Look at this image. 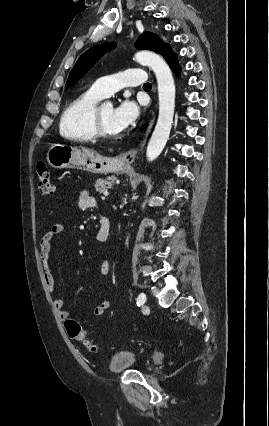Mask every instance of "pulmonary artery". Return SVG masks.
I'll return each instance as SVG.
<instances>
[{"mask_svg":"<svg viewBox=\"0 0 269 426\" xmlns=\"http://www.w3.org/2000/svg\"><path fill=\"white\" fill-rule=\"evenodd\" d=\"M147 80L145 70L130 68L122 72L102 77L95 81L91 90L100 97H108L125 86H137Z\"/></svg>","mask_w":269,"mask_h":426,"instance_id":"e3ab8cb5","label":"pulmonary artery"}]
</instances>
